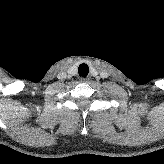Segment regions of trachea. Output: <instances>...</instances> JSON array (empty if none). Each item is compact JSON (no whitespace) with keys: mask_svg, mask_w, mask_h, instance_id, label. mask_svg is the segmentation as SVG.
I'll use <instances>...</instances> for the list:
<instances>
[{"mask_svg":"<svg viewBox=\"0 0 164 164\" xmlns=\"http://www.w3.org/2000/svg\"><path fill=\"white\" fill-rule=\"evenodd\" d=\"M78 73L80 77H86L89 73V67L87 64L83 63L78 67Z\"/></svg>","mask_w":164,"mask_h":164,"instance_id":"trachea-1","label":"trachea"}]
</instances>
